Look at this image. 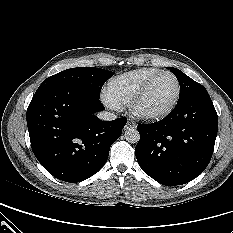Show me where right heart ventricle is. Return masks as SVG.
I'll return each instance as SVG.
<instances>
[{"mask_svg":"<svg viewBox=\"0 0 233 233\" xmlns=\"http://www.w3.org/2000/svg\"><path fill=\"white\" fill-rule=\"evenodd\" d=\"M159 71L156 67H144L118 75L109 81L107 92L118 104H127L145 81Z\"/></svg>","mask_w":233,"mask_h":233,"instance_id":"right-heart-ventricle-1","label":"right heart ventricle"}]
</instances>
